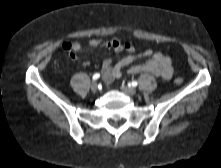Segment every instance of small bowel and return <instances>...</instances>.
Segmentation results:
<instances>
[{
	"instance_id": "c3829d8e",
	"label": "small bowel",
	"mask_w": 221,
	"mask_h": 168,
	"mask_svg": "<svg viewBox=\"0 0 221 168\" xmlns=\"http://www.w3.org/2000/svg\"><path fill=\"white\" fill-rule=\"evenodd\" d=\"M87 46L91 48L106 46L113 49L115 53H128V55L116 63L110 58L103 61L102 76L106 84H111L115 79L120 78L123 74V70L128 66V71L131 74L151 73L164 80H168L172 77V60L163 53L156 52L152 49L137 52L133 43L127 42L123 44L117 38H112L109 41L92 39L87 43ZM83 47L84 45L79 42H65L63 44V48L69 53L70 58L73 60L76 59L75 53L80 51ZM143 57L148 58L145 63L131 65L135 60ZM88 64V61L84 62V65Z\"/></svg>"
}]
</instances>
